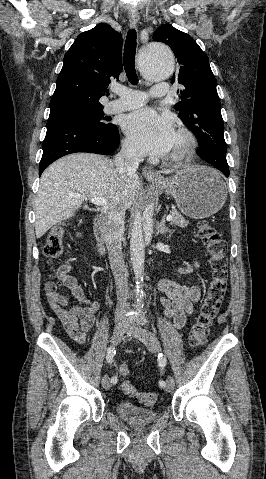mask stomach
I'll return each mask as SVG.
<instances>
[{
  "instance_id": "0dacf381",
  "label": "stomach",
  "mask_w": 266,
  "mask_h": 479,
  "mask_svg": "<svg viewBox=\"0 0 266 479\" xmlns=\"http://www.w3.org/2000/svg\"><path fill=\"white\" fill-rule=\"evenodd\" d=\"M152 183L170 194L179 210L193 219L215 214L227 198L226 184L220 174L206 166L187 168L168 179L152 180Z\"/></svg>"
}]
</instances>
